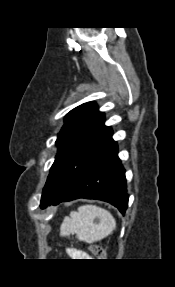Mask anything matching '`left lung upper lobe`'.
<instances>
[{
	"label": "left lung upper lobe",
	"mask_w": 175,
	"mask_h": 287,
	"mask_svg": "<svg viewBox=\"0 0 175 287\" xmlns=\"http://www.w3.org/2000/svg\"><path fill=\"white\" fill-rule=\"evenodd\" d=\"M104 113L97 104L84 103L71 110L58 134V152L43 188L41 206L56 199L107 148L112 139V128L104 125Z\"/></svg>",
	"instance_id": "obj_1"
}]
</instances>
